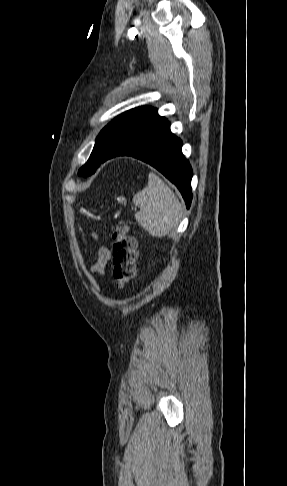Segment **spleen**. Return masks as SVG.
Masks as SVG:
<instances>
[{
	"mask_svg": "<svg viewBox=\"0 0 287 486\" xmlns=\"http://www.w3.org/2000/svg\"><path fill=\"white\" fill-rule=\"evenodd\" d=\"M133 204L140 207L135 213L138 224L153 237L168 235L179 223L183 207L174 192L154 173L148 184L133 196Z\"/></svg>",
	"mask_w": 287,
	"mask_h": 486,
	"instance_id": "3e777b00",
	"label": "spleen"
}]
</instances>
